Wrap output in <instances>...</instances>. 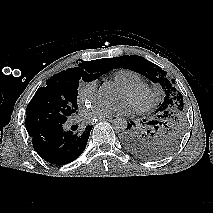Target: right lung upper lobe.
I'll return each mask as SVG.
<instances>
[{"label": "right lung upper lobe", "mask_w": 213, "mask_h": 213, "mask_svg": "<svg viewBox=\"0 0 213 213\" xmlns=\"http://www.w3.org/2000/svg\"><path fill=\"white\" fill-rule=\"evenodd\" d=\"M81 65L84 66H89L95 70H99L101 72H108L110 68L108 67L106 63V59H98V60H92V61H86L83 63H80Z\"/></svg>", "instance_id": "obj_1"}]
</instances>
